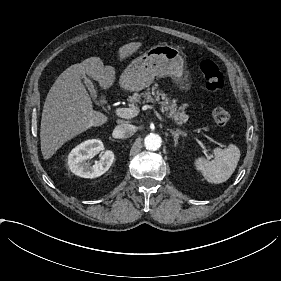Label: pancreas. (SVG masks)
<instances>
[{"instance_id":"obj_1","label":"pancreas","mask_w":281,"mask_h":281,"mask_svg":"<svg viewBox=\"0 0 281 281\" xmlns=\"http://www.w3.org/2000/svg\"><path fill=\"white\" fill-rule=\"evenodd\" d=\"M141 96H144L146 103L157 104L159 103V108H163L167 115V118H173L176 123H185L188 120L186 113L179 109L177 110V102L171 101V97L165 95L161 90L155 89V87L148 88L141 94L134 93L132 96L127 97V102L129 106H136V102L140 103Z\"/></svg>"}]
</instances>
